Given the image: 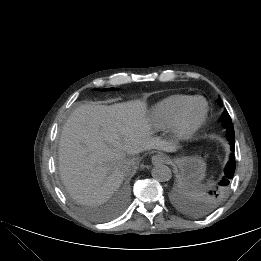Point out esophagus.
Returning a JSON list of instances; mask_svg holds the SVG:
<instances>
[{
	"instance_id": "1",
	"label": "esophagus",
	"mask_w": 261,
	"mask_h": 261,
	"mask_svg": "<svg viewBox=\"0 0 261 261\" xmlns=\"http://www.w3.org/2000/svg\"><path fill=\"white\" fill-rule=\"evenodd\" d=\"M164 159H165L164 156L161 155V154L153 155L152 158H151L152 163H153L154 165L163 163V162H164Z\"/></svg>"
}]
</instances>
